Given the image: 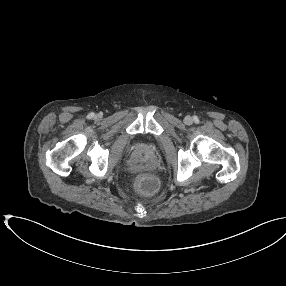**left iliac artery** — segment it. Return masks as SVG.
Segmentation results:
<instances>
[{"label": "left iliac artery", "mask_w": 286, "mask_h": 286, "mask_svg": "<svg viewBox=\"0 0 286 286\" xmlns=\"http://www.w3.org/2000/svg\"><path fill=\"white\" fill-rule=\"evenodd\" d=\"M194 121L196 122V123H198L199 122V119H198V117H194Z\"/></svg>", "instance_id": "obj_1"}]
</instances>
